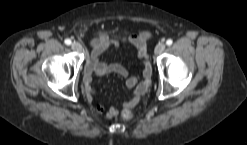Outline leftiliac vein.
<instances>
[{
	"instance_id": "obj_1",
	"label": "left iliac vein",
	"mask_w": 247,
	"mask_h": 145,
	"mask_svg": "<svg viewBox=\"0 0 247 145\" xmlns=\"http://www.w3.org/2000/svg\"><path fill=\"white\" fill-rule=\"evenodd\" d=\"M165 47H166L165 43L159 42L155 47V54L156 55L161 54L164 51Z\"/></svg>"
}]
</instances>
